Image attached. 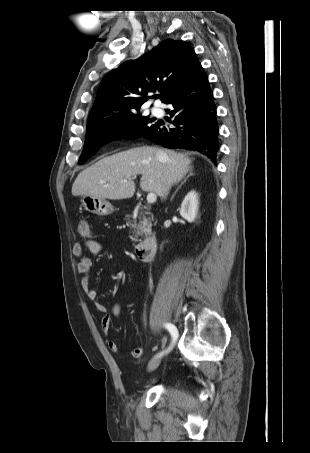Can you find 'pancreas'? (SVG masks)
I'll return each instance as SVG.
<instances>
[{"label": "pancreas", "mask_w": 310, "mask_h": 453, "mask_svg": "<svg viewBox=\"0 0 310 453\" xmlns=\"http://www.w3.org/2000/svg\"><path fill=\"white\" fill-rule=\"evenodd\" d=\"M147 214V213H146ZM139 222L137 223V220L135 218V214L133 215H126L125 220L127 222V225L133 229V238L132 240L134 242L139 241V236L143 234H149L150 233V228L152 226L150 218H146V216L142 215V212L138 216ZM133 219V220H132Z\"/></svg>", "instance_id": "1"}]
</instances>
